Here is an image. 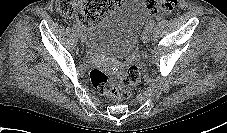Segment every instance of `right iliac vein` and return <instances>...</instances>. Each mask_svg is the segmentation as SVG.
Masks as SVG:
<instances>
[{
    "label": "right iliac vein",
    "mask_w": 227,
    "mask_h": 133,
    "mask_svg": "<svg viewBox=\"0 0 227 133\" xmlns=\"http://www.w3.org/2000/svg\"><path fill=\"white\" fill-rule=\"evenodd\" d=\"M79 38L82 42L86 41V36L82 31H79Z\"/></svg>",
    "instance_id": "right-iliac-vein-1"
}]
</instances>
